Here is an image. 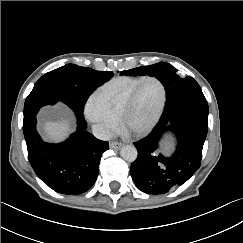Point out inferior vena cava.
Here are the masks:
<instances>
[{"instance_id": "1", "label": "inferior vena cava", "mask_w": 243, "mask_h": 243, "mask_svg": "<svg viewBox=\"0 0 243 243\" xmlns=\"http://www.w3.org/2000/svg\"><path fill=\"white\" fill-rule=\"evenodd\" d=\"M91 129H92V134L100 140L107 141L112 138L111 131L104 125L94 124L92 125Z\"/></svg>"}]
</instances>
